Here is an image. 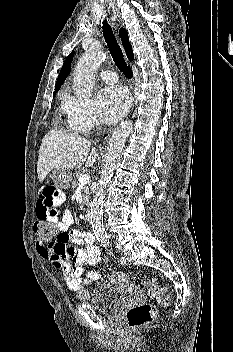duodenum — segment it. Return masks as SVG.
I'll use <instances>...</instances> for the list:
<instances>
[{
    "label": "duodenum",
    "instance_id": "obj_1",
    "mask_svg": "<svg viewBox=\"0 0 233 352\" xmlns=\"http://www.w3.org/2000/svg\"><path fill=\"white\" fill-rule=\"evenodd\" d=\"M84 217L87 222H91V211L89 208L84 210Z\"/></svg>",
    "mask_w": 233,
    "mask_h": 352
}]
</instances>
